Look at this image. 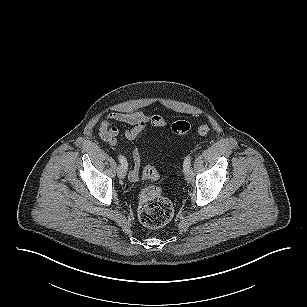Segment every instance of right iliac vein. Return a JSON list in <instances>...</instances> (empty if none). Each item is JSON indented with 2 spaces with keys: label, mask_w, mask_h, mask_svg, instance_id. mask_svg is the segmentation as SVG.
Masks as SVG:
<instances>
[{
  "label": "right iliac vein",
  "mask_w": 307,
  "mask_h": 307,
  "mask_svg": "<svg viewBox=\"0 0 307 307\" xmlns=\"http://www.w3.org/2000/svg\"><path fill=\"white\" fill-rule=\"evenodd\" d=\"M117 175L120 179H124L126 176V170L124 168H122V166H118L117 168Z\"/></svg>",
  "instance_id": "1"
}]
</instances>
